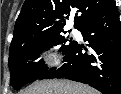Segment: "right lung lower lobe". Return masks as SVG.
Masks as SVG:
<instances>
[{
    "instance_id": "98d812e1",
    "label": "right lung lower lobe",
    "mask_w": 121,
    "mask_h": 94,
    "mask_svg": "<svg viewBox=\"0 0 121 94\" xmlns=\"http://www.w3.org/2000/svg\"><path fill=\"white\" fill-rule=\"evenodd\" d=\"M77 29L91 52L82 53L83 46L76 42L64 57L67 64L57 71L47 70L39 80L65 76L103 94H121V24L115 1L83 20Z\"/></svg>"
}]
</instances>
